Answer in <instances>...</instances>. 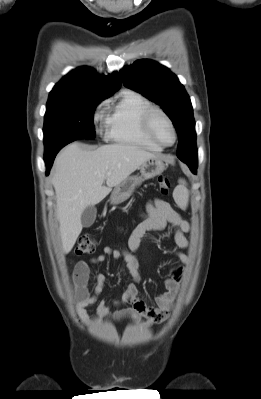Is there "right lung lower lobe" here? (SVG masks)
<instances>
[{
    "mask_svg": "<svg viewBox=\"0 0 261 399\" xmlns=\"http://www.w3.org/2000/svg\"><path fill=\"white\" fill-rule=\"evenodd\" d=\"M70 142H72V140L45 147L44 160L47 166L46 175L49 174V171L52 167L56 154L59 152L61 148H63L65 145H67Z\"/></svg>",
    "mask_w": 261,
    "mask_h": 399,
    "instance_id": "right-lung-lower-lobe-1",
    "label": "right lung lower lobe"
}]
</instances>
